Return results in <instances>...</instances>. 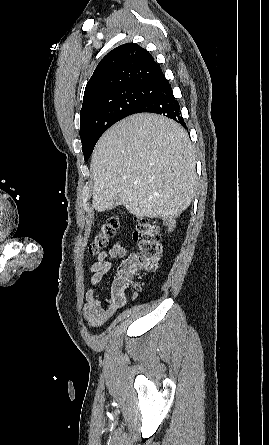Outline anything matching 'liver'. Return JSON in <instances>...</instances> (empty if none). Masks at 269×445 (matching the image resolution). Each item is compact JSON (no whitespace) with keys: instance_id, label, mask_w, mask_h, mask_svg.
<instances>
[{"instance_id":"6515ba94","label":"liver","mask_w":269,"mask_h":445,"mask_svg":"<svg viewBox=\"0 0 269 445\" xmlns=\"http://www.w3.org/2000/svg\"><path fill=\"white\" fill-rule=\"evenodd\" d=\"M195 165L193 146L178 123L151 113L129 116L94 149L93 207L104 212L117 200L138 218H162L172 232L194 198Z\"/></svg>"}]
</instances>
